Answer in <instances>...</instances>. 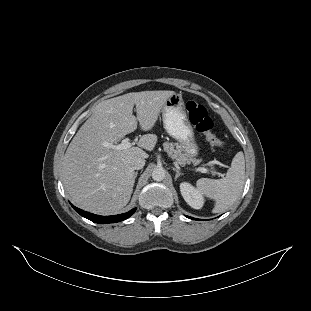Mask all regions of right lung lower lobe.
<instances>
[{
  "instance_id": "right-lung-lower-lobe-1",
  "label": "right lung lower lobe",
  "mask_w": 311,
  "mask_h": 311,
  "mask_svg": "<svg viewBox=\"0 0 311 311\" xmlns=\"http://www.w3.org/2000/svg\"><path fill=\"white\" fill-rule=\"evenodd\" d=\"M72 205V204H71ZM72 207L83 217L91 220L92 222L95 223H115V222H120L122 220H125L129 218L135 211L136 208L130 210L127 213L124 214H119V215H113V216H100V215H95L92 213H88L86 211H83L79 208H76L75 206L72 205Z\"/></svg>"
}]
</instances>
